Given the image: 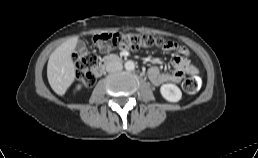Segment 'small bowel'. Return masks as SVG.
I'll return each mask as SVG.
<instances>
[{"mask_svg": "<svg viewBox=\"0 0 258 158\" xmlns=\"http://www.w3.org/2000/svg\"><path fill=\"white\" fill-rule=\"evenodd\" d=\"M171 44L169 50L178 52V54L174 55L171 59V63L175 69L171 72H162L156 66L150 67L148 70V77L154 85L158 86L164 83H178L185 74L195 76L199 73L198 68L189 60V50L176 42H171Z\"/></svg>", "mask_w": 258, "mask_h": 158, "instance_id": "small-bowel-1", "label": "small bowel"}]
</instances>
